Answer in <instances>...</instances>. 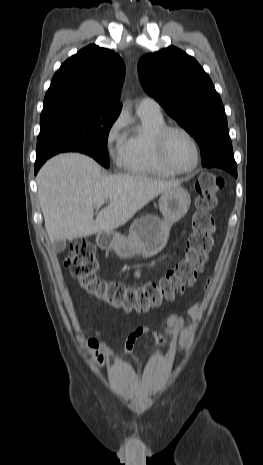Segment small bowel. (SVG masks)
Returning a JSON list of instances; mask_svg holds the SVG:
<instances>
[{
    "label": "small bowel",
    "instance_id": "1",
    "mask_svg": "<svg viewBox=\"0 0 263 465\" xmlns=\"http://www.w3.org/2000/svg\"><path fill=\"white\" fill-rule=\"evenodd\" d=\"M134 274L136 277H139L140 270H136ZM207 283H209V280ZM188 313L193 318H199L201 314L200 305L196 304L194 306H191L188 309ZM169 322L171 324H174L176 323V319L171 318ZM121 333L122 331L118 330L116 332V335H120ZM146 334H151L154 337L155 346L157 350H160L163 346L164 339H163V336L159 332H157L156 330L152 329L149 326L137 327L136 329H134L132 332H130L127 335L126 340H125V345H124V352H125L126 357L130 358L135 363H141L144 360L143 358H138L134 356L133 351H134L137 341ZM188 337H189V331H184L182 333L181 340H180L182 345L186 344ZM91 345L95 349L97 360L101 365H106L111 362L112 357H113V350L109 342H105L102 345H99L97 341H94L91 343Z\"/></svg>",
    "mask_w": 263,
    "mask_h": 465
}]
</instances>
